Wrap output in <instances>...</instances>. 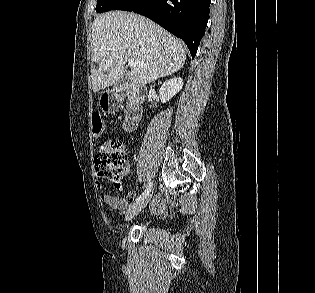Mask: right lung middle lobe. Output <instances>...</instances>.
<instances>
[{
  "label": "right lung middle lobe",
  "instance_id": "right-lung-middle-lobe-1",
  "mask_svg": "<svg viewBox=\"0 0 315 293\" xmlns=\"http://www.w3.org/2000/svg\"><path fill=\"white\" fill-rule=\"evenodd\" d=\"M120 0H97L96 12L102 13L112 9Z\"/></svg>",
  "mask_w": 315,
  "mask_h": 293
}]
</instances>
